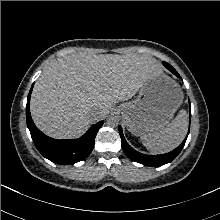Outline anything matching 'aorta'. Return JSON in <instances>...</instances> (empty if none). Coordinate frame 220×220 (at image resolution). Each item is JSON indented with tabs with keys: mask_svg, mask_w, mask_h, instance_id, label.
<instances>
[{
	"mask_svg": "<svg viewBox=\"0 0 220 220\" xmlns=\"http://www.w3.org/2000/svg\"><path fill=\"white\" fill-rule=\"evenodd\" d=\"M106 124L109 126V127H116L118 126L119 124V119L117 116L115 115H110L107 120H106Z\"/></svg>",
	"mask_w": 220,
	"mask_h": 220,
	"instance_id": "762f6f07",
	"label": "aorta"
}]
</instances>
